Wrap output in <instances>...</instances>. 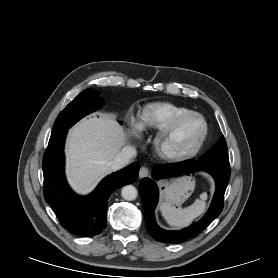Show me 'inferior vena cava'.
<instances>
[{
  "label": "inferior vena cava",
  "instance_id": "1",
  "mask_svg": "<svg viewBox=\"0 0 278 278\" xmlns=\"http://www.w3.org/2000/svg\"><path fill=\"white\" fill-rule=\"evenodd\" d=\"M136 154V149L132 146H125L116 155V157L110 163L112 170H119L127 165L132 157Z\"/></svg>",
  "mask_w": 278,
  "mask_h": 278
}]
</instances>
